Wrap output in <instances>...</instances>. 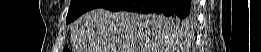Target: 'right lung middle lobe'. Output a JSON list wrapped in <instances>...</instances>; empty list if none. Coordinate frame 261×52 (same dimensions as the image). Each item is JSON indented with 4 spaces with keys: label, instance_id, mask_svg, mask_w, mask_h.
I'll return each instance as SVG.
<instances>
[{
    "label": "right lung middle lobe",
    "instance_id": "right-lung-middle-lobe-1",
    "mask_svg": "<svg viewBox=\"0 0 261 52\" xmlns=\"http://www.w3.org/2000/svg\"><path fill=\"white\" fill-rule=\"evenodd\" d=\"M108 1L109 0H72L66 22H72L88 10L100 8L101 6L105 5ZM193 18L194 16L190 19H181L174 16L163 15V17H161V20H164L165 22L174 24L176 26H185L188 22H191Z\"/></svg>",
    "mask_w": 261,
    "mask_h": 52
}]
</instances>
